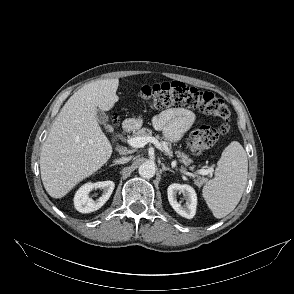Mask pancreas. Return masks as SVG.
Segmentation results:
<instances>
[{
	"label": "pancreas",
	"mask_w": 294,
	"mask_h": 294,
	"mask_svg": "<svg viewBox=\"0 0 294 294\" xmlns=\"http://www.w3.org/2000/svg\"><path fill=\"white\" fill-rule=\"evenodd\" d=\"M152 135V130L148 129V128H141L139 129L137 132H135L134 136L135 137H148ZM157 138H159V136H156ZM163 150L165 152L166 155H169L170 157L173 156V151H172V144L170 141L167 140H163L161 141ZM175 153L177 154V157L179 158V161L182 162L184 165L188 166L192 163V160L188 157V155H186L183 152L180 151H175ZM194 167H190V169L192 170ZM203 180L200 178H197L195 180V184L197 186H201L203 184Z\"/></svg>",
	"instance_id": "cf45deb5"
}]
</instances>
